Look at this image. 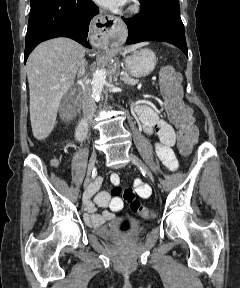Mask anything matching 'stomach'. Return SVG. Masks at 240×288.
I'll return each mask as SVG.
<instances>
[{
  "mask_svg": "<svg viewBox=\"0 0 240 288\" xmlns=\"http://www.w3.org/2000/svg\"><path fill=\"white\" fill-rule=\"evenodd\" d=\"M125 68L134 77L149 75L155 68L157 59L150 49H142L127 56L124 60Z\"/></svg>",
  "mask_w": 240,
  "mask_h": 288,
  "instance_id": "0dacf381",
  "label": "stomach"
}]
</instances>
